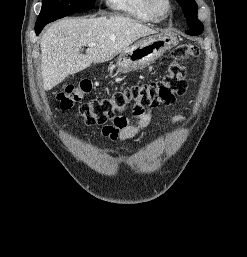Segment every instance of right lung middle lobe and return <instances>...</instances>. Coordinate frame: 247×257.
<instances>
[{"mask_svg": "<svg viewBox=\"0 0 247 257\" xmlns=\"http://www.w3.org/2000/svg\"><path fill=\"white\" fill-rule=\"evenodd\" d=\"M95 0H42L36 24L50 23L56 19L92 9Z\"/></svg>", "mask_w": 247, "mask_h": 257, "instance_id": "obj_1", "label": "right lung middle lobe"}]
</instances>
